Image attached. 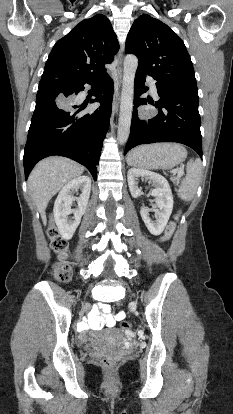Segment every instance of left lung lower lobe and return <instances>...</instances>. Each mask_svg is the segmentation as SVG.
<instances>
[{"instance_id": "0a47b994", "label": "left lung lower lobe", "mask_w": 233, "mask_h": 414, "mask_svg": "<svg viewBox=\"0 0 233 414\" xmlns=\"http://www.w3.org/2000/svg\"><path fill=\"white\" fill-rule=\"evenodd\" d=\"M145 75L143 72H136L131 132L124 154L141 144L178 142L191 147L202 158L197 86L156 83L160 100L155 103L148 102L158 109V113L151 119L141 120L137 108L147 103L146 99L139 98L148 90L144 85Z\"/></svg>"}]
</instances>
